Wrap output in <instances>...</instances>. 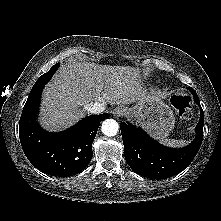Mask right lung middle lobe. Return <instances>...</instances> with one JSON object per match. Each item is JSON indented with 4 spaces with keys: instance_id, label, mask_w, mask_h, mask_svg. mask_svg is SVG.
<instances>
[{
    "instance_id": "1",
    "label": "right lung middle lobe",
    "mask_w": 221,
    "mask_h": 221,
    "mask_svg": "<svg viewBox=\"0 0 221 221\" xmlns=\"http://www.w3.org/2000/svg\"><path fill=\"white\" fill-rule=\"evenodd\" d=\"M59 66H60V63L55 64L47 73L39 77V79L36 81L32 89H35L42 84H46L50 80L52 75L55 73V71L58 69Z\"/></svg>"
}]
</instances>
